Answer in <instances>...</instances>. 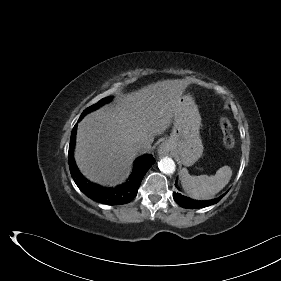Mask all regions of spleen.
Here are the masks:
<instances>
[{
  "mask_svg": "<svg viewBox=\"0 0 281 281\" xmlns=\"http://www.w3.org/2000/svg\"><path fill=\"white\" fill-rule=\"evenodd\" d=\"M232 170L229 166L219 168L215 175L191 176L186 168L180 171L181 185L193 199L208 200L219 193L230 181Z\"/></svg>",
  "mask_w": 281,
  "mask_h": 281,
  "instance_id": "obj_1",
  "label": "spleen"
}]
</instances>
